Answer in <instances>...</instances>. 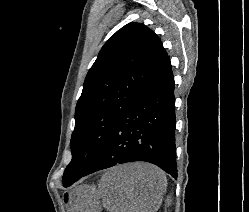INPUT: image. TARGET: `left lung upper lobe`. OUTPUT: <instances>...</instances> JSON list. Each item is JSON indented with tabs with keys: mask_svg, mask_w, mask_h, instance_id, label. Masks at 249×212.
Segmentation results:
<instances>
[{
	"mask_svg": "<svg viewBox=\"0 0 249 212\" xmlns=\"http://www.w3.org/2000/svg\"><path fill=\"white\" fill-rule=\"evenodd\" d=\"M166 58L160 39L140 23L125 25L104 44L77 102L64 187L90 169L121 115Z\"/></svg>",
	"mask_w": 249,
	"mask_h": 212,
	"instance_id": "1",
	"label": "left lung upper lobe"
}]
</instances>
